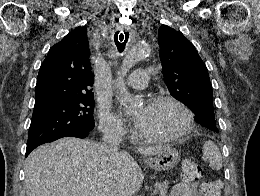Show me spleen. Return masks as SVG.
Returning a JSON list of instances; mask_svg holds the SVG:
<instances>
[{
	"mask_svg": "<svg viewBox=\"0 0 260 196\" xmlns=\"http://www.w3.org/2000/svg\"><path fill=\"white\" fill-rule=\"evenodd\" d=\"M202 154L209 162L211 170H221L222 168V156L214 142H205L203 144Z\"/></svg>",
	"mask_w": 260,
	"mask_h": 196,
	"instance_id": "1",
	"label": "spleen"
}]
</instances>
